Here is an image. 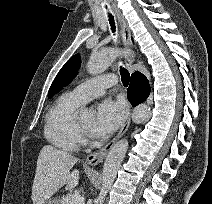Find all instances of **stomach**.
Instances as JSON below:
<instances>
[{"label": "stomach", "instance_id": "stomach-1", "mask_svg": "<svg viewBox=\"0 0 212 204\" xmlns=\"http://www.w3.org/2000/svg\"><path fill=\"white\" fill-rule=\"evenodd\" d=\"M45 204H60L57 199H48Z\"/></svg>", "mask_w": 212, "mask_h": 204}]
</instances>
